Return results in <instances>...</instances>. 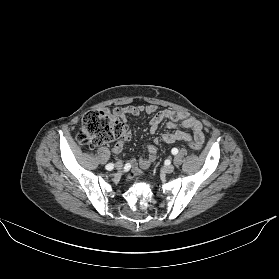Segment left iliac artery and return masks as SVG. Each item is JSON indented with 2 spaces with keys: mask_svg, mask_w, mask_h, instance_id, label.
Returning a JSON list of instances; mask_svg holds the SVG:
<instances>
[{
  "mask_svg": "<svg viewBox=\"0 0 279 279\" xmlns=\"http://www.w3.org/2000/svg\"><path fill=\"white\" fill-rule=\"evenodd\" d=\"M171 152H172L173 155H176L178 153V149L177 148H173L171 150Z\"/></svg>",
  "mask_w": 279,
  "mask_h": 279,
  "instance_id": "44dca946",
  "label": "left iliac artery"
}]
</instances>
